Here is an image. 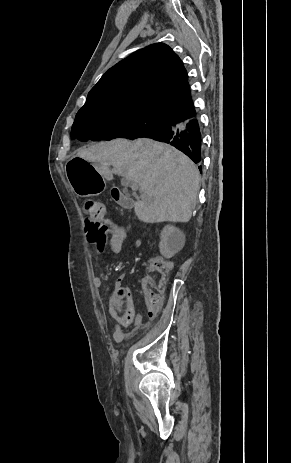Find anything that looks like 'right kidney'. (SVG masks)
<instances>
[{
  "instance_id": "obj_1",
  "label": "right kidney",
  "mask_w": 291,
  "mask_h": 463,
  "mask_svg": "<svg viewBox=\"0 0 291 463\" xmlns=\"http://www.w3.org/2000/svg\"><path fill=\"white\" fill-rule=\"evenodd\" d=\"M159 249L166 258L172 257L181 250L185 244V235L181 230L172 225H167L160 233Z\"/></svg>"
}]
</instances>
